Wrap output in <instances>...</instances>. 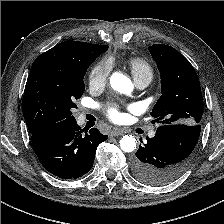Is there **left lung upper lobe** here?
<instances>
[{
  "label": "left lung upper lobe",
  "mask_w": 224,
  "mask_h": 224,
  "mask_svg": "<svg viewBox=\"0 0 224 224\" xmlns=\"http://www.w3.org/2000/svg\"><path fill=\"white\" fill-rule=\"evenodd\" d=\"M149 51L161 73L162 92L151 116L162 125L200 124L204 104L199 78L193 66L168 45L155 44L149 47Z\"/></svg>",
  "instance_id": "1"
}]
</instances>
